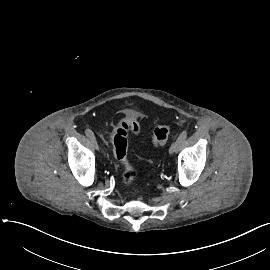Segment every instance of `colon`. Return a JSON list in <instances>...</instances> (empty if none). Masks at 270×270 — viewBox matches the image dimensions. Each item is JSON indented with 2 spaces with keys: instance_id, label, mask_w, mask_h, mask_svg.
<instances>
[{
  "instance_id": "1",
  "label": "colon",
  "mask_w": 270,
  "mask_h": 270,
  "mask_svg": "<svg viewBox=\"0 0 270 270\" xmlns=\"http://www.w3.org/2000/svg\"><path fill=\"white\" fill-rule=\"evenodd\" d=\"M141 131L140 121L135 117H124L116 122L112 131L114 154L119 168L122 170V184L133 188L137 183V171L128 158V133L137 134ZM169 124H159L154 127L150 143L153 147L163 145L171 135Z\"/></svg>"
}]
</instances>
